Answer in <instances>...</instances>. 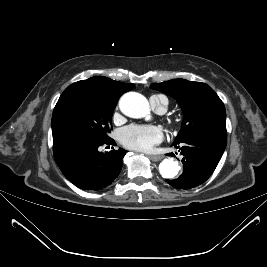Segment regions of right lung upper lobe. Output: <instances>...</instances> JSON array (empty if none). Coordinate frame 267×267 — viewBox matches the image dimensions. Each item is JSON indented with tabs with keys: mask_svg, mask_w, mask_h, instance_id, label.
I'll return each mask as SVG.
<instances>
[{
	"mask_svg": "<svg viewBox=\"0 0 267 267\" xmlns=\"http://www.w3.org/2000/svg\"><path fill=\"white\" fill-rule=\"evenodd\" d=\"M83 81L94 83L104 88L109 93H111L112 95L118 98L123 93L130 91L134 87L133 84L121 83V82L114 81L106 77H92V78H89L88 80H83Z\"/></svg>",
	"mask_w": 267,
	"mask_h": 267,
	"instance_id": "right-lung-upper-lobe-1",
	"label": "right lung upper lobe"
}]
</instances>
